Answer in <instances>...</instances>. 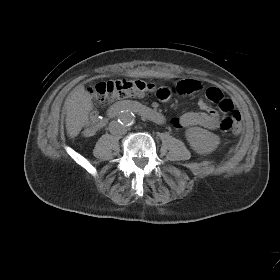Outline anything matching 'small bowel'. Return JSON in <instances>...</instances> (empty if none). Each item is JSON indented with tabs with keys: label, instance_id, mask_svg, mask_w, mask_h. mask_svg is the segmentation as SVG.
<instances>
[{
	"label": "small bowel",
	"instance_id": "small-bowel-1",
	"mask_svg": "<svg viewBox=\"0 0 280 280\" xmlns=\"http://www.w3.org/2000/svg\"><path fill=\"white\" fill-rule=\"evenodd\" d=\"M201 83L194 79H183L178 81L171 92L187 95L200 91ZM198 112H187L172 120V125L175 128H190L193 126H201L207 129L215 130L219 128L220 119L218 112L210 107L204 98L198 100ZM85 136L93 134V129H88L84 132Z\"/></svg>",
	"mask_w": 280,
	"mask_h": 280
}]
</instances>
